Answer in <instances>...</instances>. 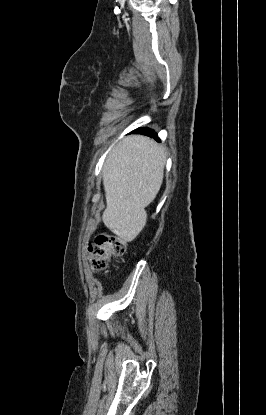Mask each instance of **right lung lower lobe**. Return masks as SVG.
I'll return each instance as SVG.
<instances>
[{
  "mask_svg": "<svg viewBox=\"0 0 266 415\" xmlns=\"http://www.w3.org/2000/svg\"><path fill=\"white\" fill-rule=\"evenodd\" d=\"M133 132L148 135V136L153 137V138H157V134L156 133L151 134V133H153V130H151L149 128H138ZM157 140L159 141V139H157Z\"/></svg>",
  "mask_w": 266,
  "mask_h": 415,
  "instance_id": "obj_1",
  "label": "right lung lower lobe"
}]
</instances>
